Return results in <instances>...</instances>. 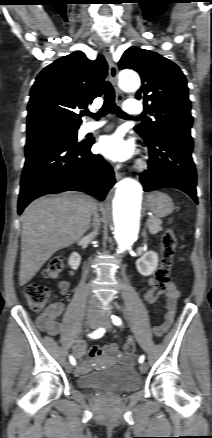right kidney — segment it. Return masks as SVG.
I'll use <instances>...</instances> for the list:
<instances>
[{
  "instance_id": "right-kidney-1",
  "label": "right kidney",
  "mask_w": 212,
  "mask_h": 438,
  "mask_svg": "<svg viewBox=\"0 0 212 438\" xmlns=\"http://www.w3.org/2000/svg\"><path fill=\"white\" fill-rule=\"evenodd\" d=\"M80 262H81V256L78 253L73 252L70 255L69 261H68V264L70 265V267L72 269L76 270V269H78Z\"/></svg>"
}]
</instances>
